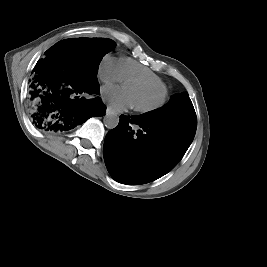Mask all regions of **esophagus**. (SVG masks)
I'll return each instance as SVG.
<instances>
[{"mask_svg":"<svg viewBox=\"0 0 267 267\" xmlns=\"http://www.w3.org/2000/svg\"><path fill=\"white\" fill-rule=\"evenodd\" d=\"M108 111H110V108L109 107L107 108V113H108Z\"/></svg>","mask_w":267,"mask_h":267,"instance_id":"obj_1","label":"esophagus"}]
</instances>
